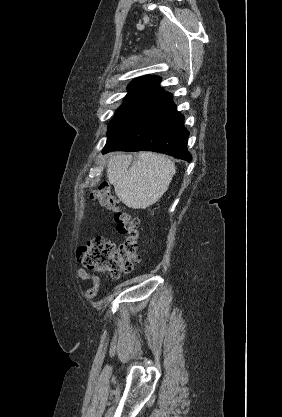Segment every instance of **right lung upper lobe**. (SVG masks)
I'll return each mask as SVG.
<instances>
[{"mask_svg": "<svg viewBox=\"0 0 282 417\" xmlns=\"http://www.w3.org/2000/svg\"><path fill=\"white\" fill-rule=\"evenodd\" d=\"M160 80L157 76H143L131 82L128 88L130 92L161 95L164 91L158 86Z\"/></svg>", "mask_w": 282, "mask_h": 417, "instance_id": "obj_1", "label": "right lung upper lobe"}]
</instances>
